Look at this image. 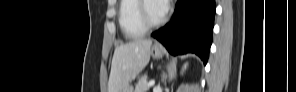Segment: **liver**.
Listing matches in <instances>:
<instances>
[{"label":"liver","instance_id":"1","mask_svg":"<svg viewBox=\"0 0 296 92\" xmlns=\"http://www.w3.org/2000/svg\"><path fill=\"white\" fill-rule=\"evenodd\" d=\"M150 39L138 38L117 46L114 51L108 92H121L150 60Z\"/></svg>","mask_w":296,"mask_h":92}]
</instances>
